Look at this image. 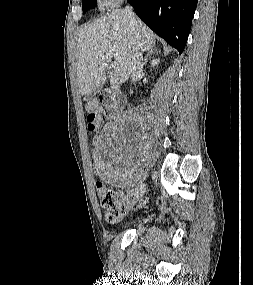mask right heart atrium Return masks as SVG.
I'll list each match as a JSON object with an SVG mask.
<instances>
[{"label": "right heart atrium", "mask_w": 253, "mask_h": 285, "mask_svg": "<svg viewBox=\"0 0 253 285\" xmlns=\"http://www.w3.org/2000/svg\"><path fill=\"white\" fill-rule=\"evenodd\" d=\"M122 0H101L102 4L106 7H115L118 5Z\"/></svg>", "instance_id": "d8ad5b80"}]
</instances>
